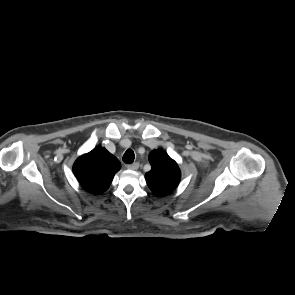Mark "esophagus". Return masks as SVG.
<instances>
[{"instance_id":"esophagus-1","label":"esophagus","mask_w":295,"mask_h":295,"mask_svg":"<svg viewBox=\"0 0 295 295\" xmlns=\"http://www.w3.org/2000/svg\"><path fill=\"white\" fill-rule=\"evenodd\" d=\"M129 170H137L139 168V163H132L127 166Z\"/></svg>"}]
</instances>
